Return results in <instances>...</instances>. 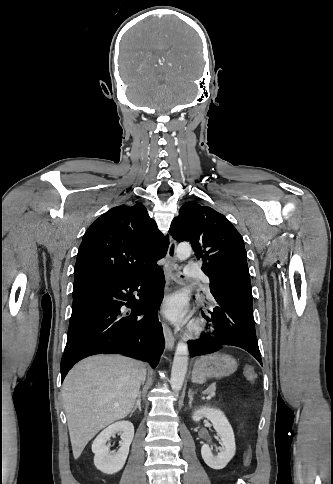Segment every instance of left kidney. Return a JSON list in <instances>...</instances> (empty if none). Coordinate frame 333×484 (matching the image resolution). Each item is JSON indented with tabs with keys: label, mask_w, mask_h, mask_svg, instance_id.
Here are the masks:
<instances>
[{
	"label": "left kidney",
	"mask_w": 333,
	"mask_h": 484,
	"mask_svg": "<svg viewBox=\"0 0 333 484\" xmlns=\"http://www.w3.org/2000/svg\"><path fill=\"white\" fill-rule=\"evenodd\" d=\"M207 417L213 424L214 429L221 439L220 452L214 455L210 446L205 444L201 448L204 462L212 469L220 470L226 467L234 457L236 451L235 436L233 429L224 413L216 408L204 406L195 410L192 419L196 422Z\"/></svg>",
	"instance_id": "1"
}]
</instances>
